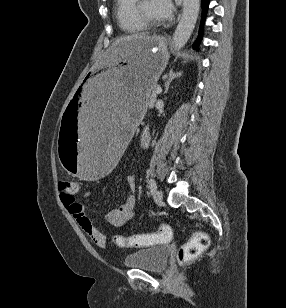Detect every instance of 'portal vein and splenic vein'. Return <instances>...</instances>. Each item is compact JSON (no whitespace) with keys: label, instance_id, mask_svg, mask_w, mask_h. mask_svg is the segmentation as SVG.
Segmentation results:
<instances>
[{"label":"portal vein and splenic vein","instance_id":"18ae733b","mask_svg":"<svg viewBox=\"0 0 286 308\" xmlns=\"http://www.w3.org/2000/svg\"><path fill=\"white\" fill-rule=\"evenodd\" d=\"M155 92H156L157 94L162 93V88H161V87H157L156 90H155Z\"/></svg>","mask_w":286,"mask_h":308}]
</instances>
